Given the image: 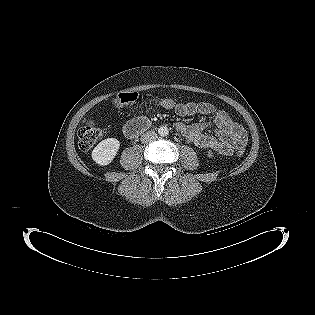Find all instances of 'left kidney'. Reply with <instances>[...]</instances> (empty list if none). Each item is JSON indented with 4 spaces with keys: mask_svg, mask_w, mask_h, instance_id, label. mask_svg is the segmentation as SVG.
I'll use <instances>...</instances> for the list:
<instances>
[{
    "mask_svg": "<svg viewBox=\"0 0 315 315\" xmlns=\"http://www.w3.org/2000/svg\"><path fill=\"white\" fill-rule=\"evenodd\" d=\"M207 153H208V154H207V155H208V157H210V158H212V157H213V153H212V151H210V150H209Z\"/></svg>",
    "mask_w": 315,
    "mask_h": 315,
    "instance_id": "left-kidney-1",
    "label": "left kidney"
}]
</instances>
